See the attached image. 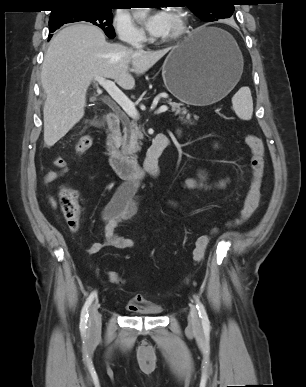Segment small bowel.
Wrapping results in <instances>:
<instances>
[{"mask_svg": "<svg viewBox=\"0 0 306 387\" xmlns=\"http://www.w3.org/2000/svg\"><path fill=\"white\" fill-rule=\"evenodd\" d=\"M52 162L57 168L56 170H49L44 175V183L51 184L62 177L68 172V165L65 159L57 154L52 156ZM226 184L225 180L219 181L216 185L223 187ZM184 186L189 189L201 188L195 179L188 178L184 181ZM136 184L126 183L122 185L114 194L112 199L104 206L101 212V220L103 222V241L91 243L86 251L89 254H96L106 247H112L116 249H132L136 243L133 239L121 236L116 233V228L120 223L130 219L137 210V200L135 197ZM51 206H55L53 198H49ZM171 206L179 208L177 202L172 201ZM143 299L137 296L128 305V310H136L142 305Z\"/></svg>", "mask_w": 306, "mask_h": 387, "instance_id": "small-bowel-1", "label": "small bowel"}]
</instances>
